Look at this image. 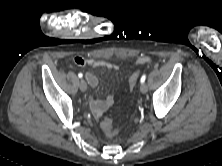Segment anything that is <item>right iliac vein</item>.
<instances>
[{
    "instance_id": "63e3f726",
    "label": "right iliac vein",
    "mask_w": 222,
    "mask_h": 166,
    "mask_svg": "<svg viewBox=\"0 0 222 166\" xmlns=\"http://www.w3.org/2000/svg\"><path fill=\"white\" fill-rule=\"evenodd\" d=\"M79 88L82 92H85L87 90V83L84 80H81Z\"/></svg>"
}]
</instances>
